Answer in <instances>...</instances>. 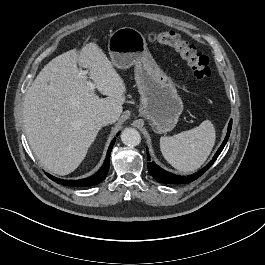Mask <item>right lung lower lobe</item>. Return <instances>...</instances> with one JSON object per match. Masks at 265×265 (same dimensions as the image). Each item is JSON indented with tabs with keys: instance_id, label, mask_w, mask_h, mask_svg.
Here are the masks:
<instances>
[{
	"instance_id": "1",
	"label": "right lung lower lobe",
	"mask_w": 265,
	"mask_h": 265,
	"mask_svg": "<svg viewBox=\"0 0 265 265\" xmlns=\"http://www.w3.org/2000/svg\"><path fill=\"white\" fill-rule=\"evenodd\" d=\"M116 138H114V140L111 142L107 155H106V159L104 161L103 166L100 168V170L98 172H96L94 175L85 178V179H79V180H63V179H59L56 178L54 176H51L49 174L46 173V175L52 179L53 181H55L56 183L65 185V186H74V187H89V186H94L97 185L98 183H100L101 181H103L106 176L107 173L109 171V161H110V153L112 150V147L115 143Z\"/></svg>"
}]
</instances>
